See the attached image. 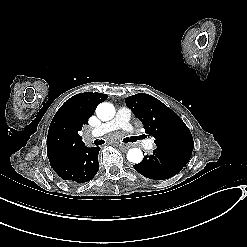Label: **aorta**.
I'll list each match as a JSON object with an SVG mask.
<instances>
[{"label": "aorta", "instance_id": "762f6f07", "mask_svg": "<svg viewBox=\"0 0 247 247\" xmlns=\"http://www.w3.org/2000/svg\"><path fill=\"white\" fill-rule=\"evenodd\" d=\"M97 117L102 121H109L115 116V108L111 103H100L96 108ZM127 159L132 163H140L143 160V153L138 148L129 149Z\"/></svg>", "mask_w": 247, "mask_h": 247}]
</instances>
